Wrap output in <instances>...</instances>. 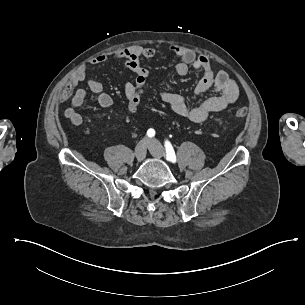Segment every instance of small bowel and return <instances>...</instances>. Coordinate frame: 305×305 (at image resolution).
<instances>
[{"label":"small bowel","mask_w":305,"mask_h":305,"mask_svg":"<svg viewBox=\"0 0 305 305\" xmlns=\"http://www.w3.org/2000/svg\"><path fill=\"white\" fill-rule=\"evenodd\" d=\"M170 49L179 59L174 68L176 75L185 76L189 72L190 66L196 72L202 73V78L195 88L196 94L204 93L210 89L218 93V95L208 97L197 105L190 107L183 96L162 88L160 97L174 113L193 123H201L212 113L226 109L237 100L239 91L236 82L225 71L214 72L206 56L197 55L193 50L179 45H172ZM156 52L155 47L133 45L116 49L109 54L94 56L89 59L88 65L103 64L110 59L123 61L124 66L136 75L133 82L125 84L124 92L127 97L137 87L146 85L149 72L142 64V59H150L155 56ZM80 82H86L89 89L97 93V100L102 108H110L113 104V99L104 91L103 84L88 77V66H81L71 79L74 91L70 103L64 111L65 117L76 126L83 122V118L77 109L83 104L86 97V91L77 87Z\"/></svg>","instance_id":"c3829d8e"}]
</instances>
